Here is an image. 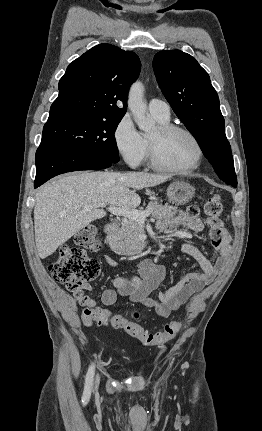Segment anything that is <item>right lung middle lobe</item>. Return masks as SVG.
<instances>
[{"label":"right lung middle lobe","instance_id":"right-lung-middle-lobe-1","mask_svg":"<svg viewBox=\"0 0 262 431\" xmlns=\"http://www.w3.org/2000/svg\"><path fill=\"white\" fill-rule=\"evenodd\" d=\"M121 119L86 118L45 125L40 145L76 149L117 163L119 154L114 132Z\"/></svg>","mask_w":262,"mask_h":431}]
</instances>
